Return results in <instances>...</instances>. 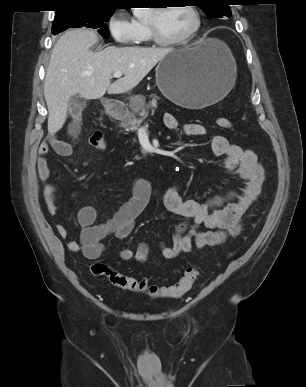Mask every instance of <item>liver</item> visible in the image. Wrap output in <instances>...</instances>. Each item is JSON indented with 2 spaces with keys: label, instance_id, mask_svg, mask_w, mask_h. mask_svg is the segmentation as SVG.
I'll list each match as a JSON object with an SVG mask.
<instances>
[{
  "label": "liver",
  "instance_id": "liver-1",
  "mask_svg": "<svg viewBox=\"0 0 306 387\" xmlns=\"http://www.w3.org/2000/svg\"><path fill=\"white\" fill-rule=\"evenodd\" d=\"M98 42L96 33L81 28L64 33L56 42L44 81L48 107V132L59 131L67 118L72 96L92 100L108 94L130 92L173 48L108 46L100 52L91 47ZM123 77L111 83L112 74Z\"/></svg>",
  "mask_w": 306,
  "mask_h": 387
}]
</instances>
